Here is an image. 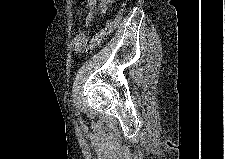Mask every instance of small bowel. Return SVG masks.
Masks as SVG:
<instances>
[{
  "mask_svg": "<svg viewBox=\"0 0 225 159\" xmlns=\"http://www.w3.org/2000/svg\"><path fill=\"white\" fill-rule=\"evenodd\" d=\"M113 3V0H101L98 8V12L101 15H104L108 12L111 5ZM96 8V0H88L87 1V16L85 19L84 26L76 33L73 41H72V48L75 53H82L84 52L87 41H88V35H87V26L92 21L93 15Z\"/></svg>",
  "mask_w": 225,
  "mask_h": 159,
  "instance_id": "1",
  "label": "small bowel"
}]
</instances>
